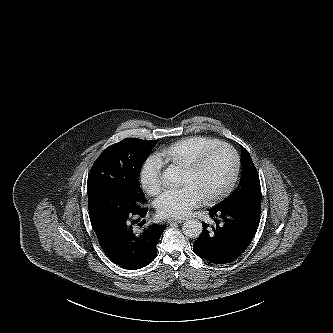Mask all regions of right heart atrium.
<instances>
[{
  "instance_id": "d8ad5b80",
  "label": "right heart atrium",
  "mask_w": 333,
  "mask_h": 333,
  "mask_svg": "<svg viewBox=\"0 0 333 333\" xmlns=\"http://www.w3.org/2000/svg\"><path fill=\"white\" fill-rule=\"evenodd\" d=\"M164 161L157 153L149 155L142 163L139 181L142 189L149 195H156L163 186L162 171Z\"/></svg>"
}]
</instances>
